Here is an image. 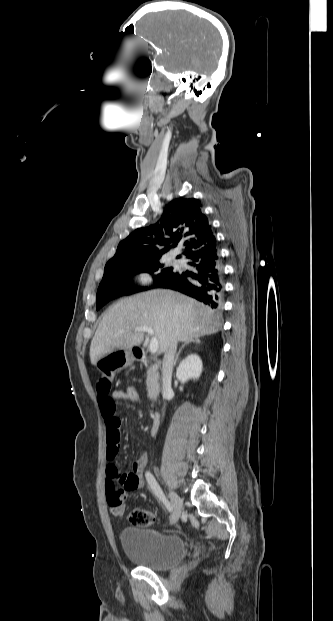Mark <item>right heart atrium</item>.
Instances as JSON below:
<instances>
[{"label":"right heart atrium","instance_id":"1","mask_svg":"<svg viewBox=\"0 0 333 621\" xmlns=\"http://www.w3.org/2000/svg\"><path fill=\"white\" fill-rule=\"evenodd\" d=\"M135 280L140 285H149V284L152 283V278H151L150 274H148L146 272L139 273L136 276Z\"/></svg>","mask_w":333,"mask_h":621}]
</instances>
